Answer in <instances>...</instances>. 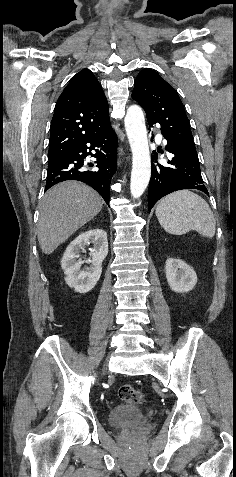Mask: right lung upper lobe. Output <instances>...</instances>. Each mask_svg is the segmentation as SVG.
Masks as SVG:
<instances>
[{"instance_id": "1", "label": "right lung upper lobe", "mask_w": 236, "mask_h": 477, "mask_svg": "<svg viewBox=\"0 0 236 477\" xmlns=\"http://www.w3.org/2000/svg\"><path fill=\"white\" fill-rule=\"evenodd\" d=\"M109 123L108 103L100 83L90 70H81L69 81L55 105L49 156H65Z\"/></svg>"}]
</instances>
